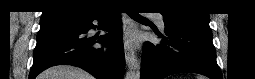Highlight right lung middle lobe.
<instances>
[{
	"instance_id": "1",
	"label": "right lung middle lobe",
	"mask_w": 255,
	"mask_h": 79,
	"mask_svg": "<svg viewBox=\"0 0 255 79\" xmlns=\"http://www.w3.org/2000/svg\"><path fill=\"white\" fill-rule=\"evenodd\" d=\"M74 18H78V17L70 13H61L58 15L41 18L40 26L44 27L48 25L61 24L63 22L69 21Z\"/></svg>"
}]
</instances>
